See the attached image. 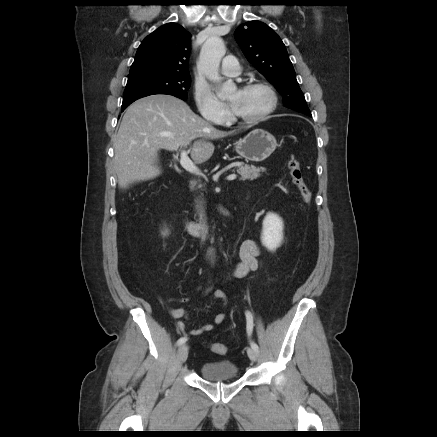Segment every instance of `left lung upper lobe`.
Listing matches in <instances>:
<instances>
[{"mask_svg": "<svg viewBox=\"0 0 437 437\" xmlns=\"http://www.w3.org/2000/svg\"><path fill=\"white\" fill-rule=\"evenodd\" d=\"M234 36L248 61L282 95L284 105L311 117L286 47L278 34L265 23L249 21L240 25Z\"/></svg>", "mask_w": 437, "mask_h": 437, "instance_id": "1", "label": "left lung upper lobe"}]
</instances>
